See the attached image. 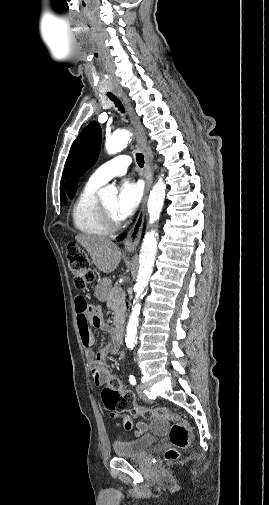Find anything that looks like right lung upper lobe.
<instances>
[{"instance_id": "1", "label": "right lung upper lobe", "mask_w": 269, "mask_h": 505, "mask_svg": "<svg viewBox=\"0 0 269 505\" xmlns=\"http://www.w3.org/2000/svg\"><path fill=\"white\" fill-rule=\"evenodd\" d=\"M60 193H61V198H62V200H63V201H66V196H65V193H64V185H63V181L61 182Z\"/></svg>"}]
</instances>
